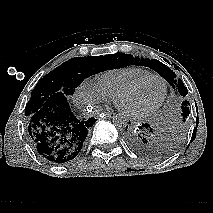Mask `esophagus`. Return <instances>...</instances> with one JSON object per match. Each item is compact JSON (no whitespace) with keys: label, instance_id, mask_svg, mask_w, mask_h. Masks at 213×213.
I'll list each match as a JSON object with an SVG mask.
<instances>
[{"label":"esophagus","instance_id":"obj_1","mask_svg":"<svg viewBox=\"0 0 213 213\" xmlns=\"http://www.w3.org/2000/svg\"><path fill=\"white\" fill-rule=\"evenodd\" d=\"M103 116H105L106 118H112L115 116V113L114 112H106V113H103Z\"/></svg>","mask_w":213,"mask_h":213}]
</instances>
